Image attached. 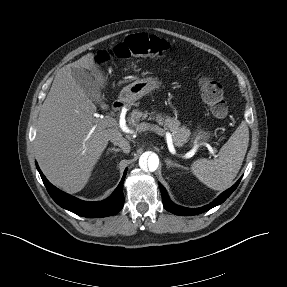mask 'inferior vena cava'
<instances>
[{
    "instance_id": "1",
    "label": "inferior vena cava",
    "mask_w": 287,
    "mask_h": 287,
    "mask_svg": "<svg viewBox=\"0 0 287 287\" xmlns=\"http://www.w3.org/2000/svg\"><path fill=\"white\" fill-rule=\"evenodd\" d=\"M110 141L116 145V146H119L124 153H129L130 152V144H129V141H127L125 138L123 137H112L110 139Z\"/></svg>"
}]
</instances>
